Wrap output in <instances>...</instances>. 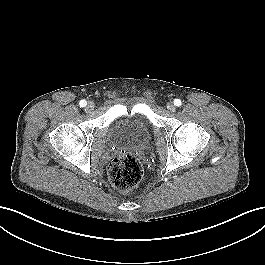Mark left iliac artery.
Listing matches in <instances>:
<instances>
[{
  "label": "left iliac artery",
  "instance_id": "44dca946",
  "mask_svg": "<svg viewBox=\"0 0 265 265\" xmlns=\"http://www.w3.org/2000/svg\"><path fill=\"white\" fill-rule=\"evenodd\" d=\"M181 104H182V102H181L180 99H175V100H174V105H176V106H181Z\"/></svg>",
  "mask_w": 265,
  "mask_h": 265
}]
</instances>
